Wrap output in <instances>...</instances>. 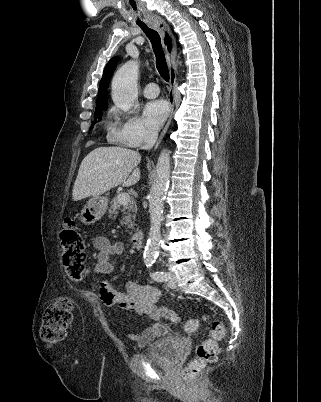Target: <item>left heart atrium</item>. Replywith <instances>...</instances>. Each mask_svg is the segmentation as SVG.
<instances>
[{"instance_id":"1","label":"left heart atrium","mask_w":321,"mask_h":402,"mask_svg":"<svg viewBox=\"0 0 321 402\" xmlns=\"http://www.w3.org/2000/svg\"><path fill=\"white\" fill-rule=\"evenodd\" d=\"M169 112L168 105L163 100H154L148 102L143 110V116L146 124L151 130H157L165 121Z\"/></svg>"}]
</instances>
